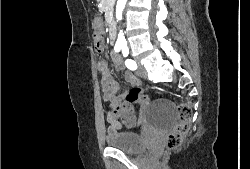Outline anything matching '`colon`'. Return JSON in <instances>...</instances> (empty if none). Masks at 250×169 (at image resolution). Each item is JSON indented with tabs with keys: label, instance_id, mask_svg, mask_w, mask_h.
I'll return each mask as SVG.
<instances>
[{
	"label": "colon",
	"instance_id": "obj_1",
	"mask_svg": "<svg viewBox=\"0 0 250 169\" xmlns=\"http://www.w3.org/2000/svg\"><path fill=\"white\" fill-rule=\"evenodd\" d=\"M103 52V41L102 37L97 29L94 30V42H93V53ZM128 95L124 96L125 100H133V101H140V111L138 115L137 125L141 126L143 121L145 120L147 108L150 102L149 95H143L141 90L134 89L132 91H128ZM179 99L178 97L176 98ZM188 104H190V99H182L181 102H176L177 107V115H179L178 126H174L173 130L170 134H168V138L165 139L167 143V150L164 151L162 167L163 169H170V164L168 162V150H178L181 143L184 142L186 131H191V127H193L192 120V111L188 108ZM111 114L116 119L120 117L121 113V104L120 103H111Z\"/></svg>",
	"mask_w": 250,
	"mask_h": 169
}]
</instances>
